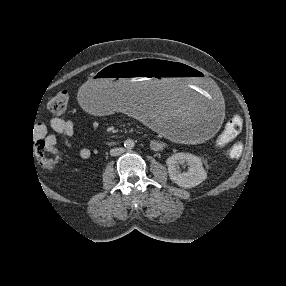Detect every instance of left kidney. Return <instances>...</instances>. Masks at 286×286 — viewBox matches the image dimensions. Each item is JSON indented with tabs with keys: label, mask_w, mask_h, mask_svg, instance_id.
Instances as JSON below:
<instances>
[{
	"label": "left kidney",
	"mask_w": 286,
	"mask_h": 286,
	"mask_svg": "<svg viewBox=\"0 0 286 286\" xmlns=\"http://www.w3.org/2000/svg\"><path fill=\"white\" fill-rule=\"evenodd\" d=\"M183 163L189 165L188 172L179 171V164ZM166 164L170 179L180 187L192 188L207 178V173L198 156L183 152L176 153L167 158Z\"/></svg>",
	"instance_id": "obj_1"
}]
</instances>
